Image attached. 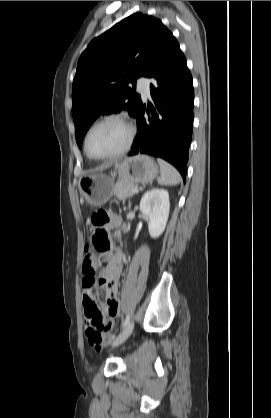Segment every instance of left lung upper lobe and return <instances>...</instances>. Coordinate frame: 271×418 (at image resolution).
I'll return each mask as SVG.
<instances>
[{
  "label": "left lung upper lobe",
  "mask_w": 271,
  "mask_h": 418,
  "mask_svg": "<svg viewBox=\"0 0 271 418\" xmlns=\"http://www.w3.org/2000/svg\"><path fill=\"white\" fill-rule=\"evenodd\" d=\"M172 38L159 19L135 13L90 42L80 56L72 87L79 148L100 114L124 109L136 115L141 97L128 84L152 75Z\"/></svg>",
  "instance_id": "1"
}]
</instances>
